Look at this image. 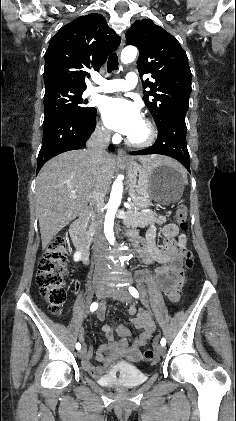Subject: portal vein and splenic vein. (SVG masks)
Segmentation results:
<instances>
[{"label":"portal vein and splenic vein","instance_id":"obj_1","mask_svg":"<svg viewBox=\"0 0 236 421\" xmlns=\"http://www.w3.org/2000/svg\"><path fill=\"white\" fill-rule=\"evenodd\" d=\"M70 198H76V196H70ZM124 208L128 209V208H133V205H130L129 202H124ZM150 208H147V211H143V213H149Z\"/></svg>","mask_w":236,"mask_h":421}]
</instances>
